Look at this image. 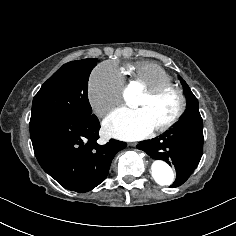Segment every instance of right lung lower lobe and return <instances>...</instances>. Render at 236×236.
Here are the masks:
<instances>
[{"instance_id": "right-lung-lower-lobe-1", "label": "right lung lower lobe", "mask_w": 236, "mask_h": 236, "mask_svg": "<svg viewBox=\"0 0 236 236\" xmlns=\"http://www.w3.org/2000/svg\"><path fill=\"white\" fill-rule=\"evenodd\" d=\"M100 124L94 114L59 116L30 124L35 156L52 178L66 189L87 192L108 175L115 154L125 142L97 144Z\"/></svg>"}]
</instances>
